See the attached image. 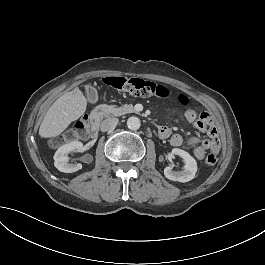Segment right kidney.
<instances>
[{
  "instance_id": "ca27d5eb",
  "label": "right kidney",
  "mask_w": 265,
  "mask_h": 265,
  "mask_svg": "<svg viewBox=\"0 0 265 265\" xmlns=\"http://www.w3.org/2000/svg\"><path fill=\"white\" fill-rule=\"evenodd\" d=\"M76 151L82 152L84 151L83 144L79 141H73L63 146L59 147L53 156L54 166L63 173H73L80 169H82L81 164H70L68 163L69 157L68 153Z\"/></svg>"
}]
</instances>
